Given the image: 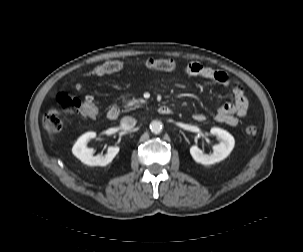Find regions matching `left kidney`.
Wrapping results in <instances>:
<instances>
[{"label": "left kidney", "instance_id": "5707ae66", "mask_svg": "<svg viewBox=\"0 0 303 252\" xmlns=\"http://www.w3.org/2000/svg\"><path fill=\"white\" fill-rule=\"evenodd\" d=\"M210 133L221 140L219 144L213 146L214 151L212 154H204L196 145L190 148V154L193 159L203 165H211L224 160L231 153L235 144L234 137L226 130L213 127Z\"/></svg>", "mask_w": 303, "mask_h": 252}]
</instances>
